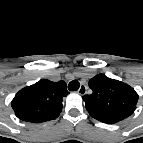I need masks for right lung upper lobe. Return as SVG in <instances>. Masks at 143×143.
I'll return each instance as SVG.
<instances>
[{
	"mask_svg": "<svg viewBox=\"0 0 143 143\" xmlns=\"http://www.w3.org/2000/svg\"><path fill=\"white\" fill-rule=\"evenodd\" d=\"M67 94L64 81L41 80L19 91L11 105L20 119L39 123L58 117L62 110V98Z\"/></svg>",
	"mask_w": 143,
	"mask_h": 143,
	"instance_id": "right-lung-upper-lobe-1",
	"label": "right lung upper lobe"
}]
</instances>
